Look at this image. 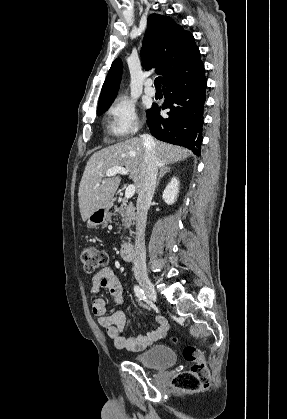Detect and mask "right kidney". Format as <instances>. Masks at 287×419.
I'll return each instance as SVG.
<instances>
[{"label":"right kidney","instance_id":"right-kidney-1","mask_svg":"<svg viewBox=\"0 0 287 419\" xmlns=\"http://www.w3.org/2000/svg\"><path fill=\"white\" fill-rule=\"evenodd\" d=\"M179 193V181L176 177H173L163 191L162 198L168 205H172L177 200Z\"/></svg>","mask_w":287,"mask_h":419}]
</instances>
